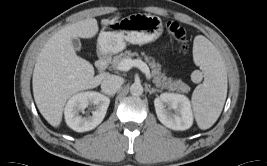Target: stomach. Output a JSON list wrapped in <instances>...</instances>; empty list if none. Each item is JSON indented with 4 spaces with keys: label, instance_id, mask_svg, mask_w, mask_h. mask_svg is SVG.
Wrapping results in <instances>:
<instances>
[{
    "label": "stomach",
    "instance_id": "stomach-1",
    "mask_svg": "<svg viewBox=\"0 0 267 166\" xmlns=\"http://www.w3.org/2000/svg\"><path fill=\"white\" fill-rule=\"evenodd\" d=\"M163 32V23L158 16L131 14L114 23L105 25L97 40L101 54H115L131 44H146L158 39Z\"/></svg>",
    "mask_w": 267,
    "mask_h": 166
}]
</instances>
